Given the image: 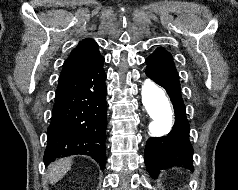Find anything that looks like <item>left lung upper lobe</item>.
<instances>
[{
    "label": "left lung upper lobe",
    "instance_id": "1",
    "mask_svg": "<svg viewBox=\"0 0 238 190\" xmlns=\"http://www.w3.org/2000/svg\"><path fill=\"white\" fill-rule=\"evenodd\" d=\"M156 50H159V51H165V52H167L164 48H162V47H159L158 49H156Z\"/></svg>",
    "mask_w": 238,
    "mask_h": 190
}]
</instances>
